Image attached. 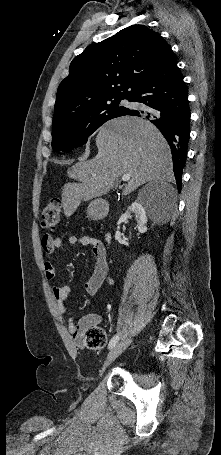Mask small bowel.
<instances>
[{
  "label": "small bowel",
  "instance_id": "1",
  "mask_svg": "<svg viewBox=\"0 0 221 455\" xmlns=\"http://www.w3.org/2000/svg\"><path fill=\"white\" fill-rule=\"evenodd\" d=\"M82 245L91 247L93 254L96 258L95 268L91 277L85 283V289L88 294L95 295L99 288L107 283L111 286L115 285V281L110 277L108 272L107 263V251L104 244L95 238L89 236H67V237H53L51 235H44L42 238V247L45 254L51 257L54 252L63 245ZM44 274L47 280L55 278V267L51 260H46L43 264ZM71 288L68 285H54L52 287V293L55 297L58 311L62 316L67 314V299L70 295ZM98 318L95 316H85L78 322H75L73 318L68 319V330L73 336L74 343L77 347H83V334L84 331L96 324Z\"/></svg>",
  "mask_w": 221,
  "mask_h": 455
}]
</instances>
